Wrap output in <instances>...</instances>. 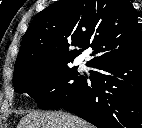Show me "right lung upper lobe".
I'll use <instances>...</instances> for the list:
<instances>
[{
	"instance_id": "1",
	"label": "right lung upper lobe",
	"mask_w": 142,
	"mask_h": 128,
	"mask_svg": "<svg viewBox=\"0 0 142 128\" xmlns=\"http://www.w3.org/2000/svg\"><path fill=\"white\" fill-rule=\"evenodd\" d=\"M137 17L129 0H60L32 20L14 74L43 62L67 65L88 48L89 67L133 54L142 48Z\"/></svg>"
}]
</instances>
